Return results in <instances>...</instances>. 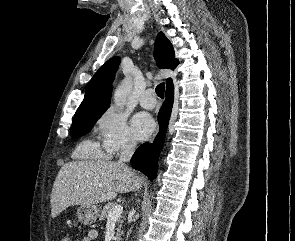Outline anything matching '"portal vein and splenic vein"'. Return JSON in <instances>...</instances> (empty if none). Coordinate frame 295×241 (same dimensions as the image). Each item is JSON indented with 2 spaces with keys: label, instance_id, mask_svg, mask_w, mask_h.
<instances>
[{
  "label": "portal vein and splenic vein",
  "instance_id": "18ae733b",
  "mask_svg": "<svg viewBox=\"0 0 295 241\" xmlns=\"http://www.w3.org/2000/svg\"><path fill=\"white\" fill-rule=\"evenodd\" d=\"M123 212V207L121 205L114 206L108 214V221H116L120 218Z\"/></svg>",
  "mask_w": 295,
  "mask_h": 241
}]
</instances>
